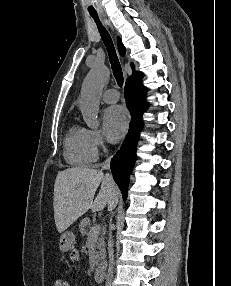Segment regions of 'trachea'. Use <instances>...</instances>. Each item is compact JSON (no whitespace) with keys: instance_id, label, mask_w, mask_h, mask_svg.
I'll use <instances>...</instances> for the list:
<instances>
[{"instance_id":"trachea-1","label":"trachea","mask_w":231,"mask_h":286,"mask_svg":"<svg viewBox=\"0 0 231 286\" xmlns=\"http://www.w3.org/2000/svg\"><path fill=\"white\" fill-rule=\"evenodd\" d=\"M90 15L92 16V18L96 22L97 27H98L99 32H100V35H101V38H102V40L105 44V47L107 49L109 60H110L111 67L113 70V75H114L118 85L120 87H122V85H123L122 68H121L119 59L117 57L116 50H115L114 44L112 42V39H111L109 33L107 32V30L103 27V25L99 21L98 15L97 14H90Z\"/></svg>"}]
</instances>
